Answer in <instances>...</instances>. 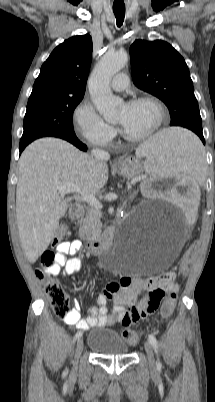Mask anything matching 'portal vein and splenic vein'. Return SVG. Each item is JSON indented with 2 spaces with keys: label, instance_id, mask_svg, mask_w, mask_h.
Here are the masks:
<instances>
[{
  "label": "portal vein and splenic vein",
  "instance_id": "18ae733b",
  "mask_svg": "<svg viewBox=\"0 0 215 402\" xmlns=\"http://www.w3.org/2000/svg\"><path fill=\"white\" fill-rule=\"evenodd\" d=\"M57 188L59 190V193L61 196L67 194V193H77L80 194L91 207H93L96 210H99L102 208V204L100 203L97 198L87 192H84L81 190V187L73 184V183H58Z\"/></svg>",
  "mask_w": 215,
  "mask_h": 402
}]
</instances>
